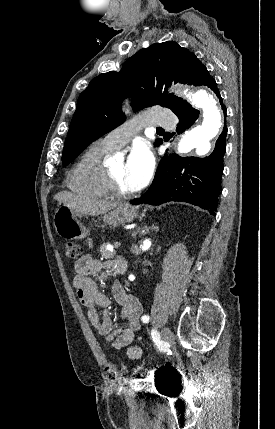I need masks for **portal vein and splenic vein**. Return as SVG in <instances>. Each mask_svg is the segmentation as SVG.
<instances>
[{"instance_id":"18ae733b","label":"portal vein and splenic vein","mask_w":275,"mask_h":429,"mask_svg":"<svg viewBox=\"0 0 275 429\" xmlns=\"http://www.w3.org/2000/svg\"><path fill=\"white\" fill-rule=\"evenodd\" d=\"M120 245H121L120 242H116L115 243V247H119ZM113 248H114L113 246H108L107 247L108 250H113Z\"/></svg>"}]
</instances>
